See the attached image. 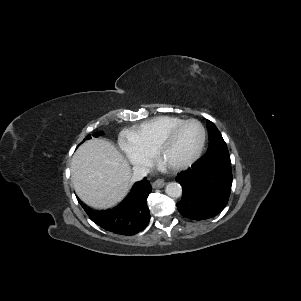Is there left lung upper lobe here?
I'll list each match as a JSON object with an SVG mask.
<instances>
[{"mask_svg": "<svg viewBox=\"0 0 301 301\" xmlns=\"http://www.w3.org/2000/svg\"><path fill=\"white\" fill-rule=\"evenodd\" d=\"M207 129H208L209 147L205 155L202 156L201 158L204 159L209 157H224L230 159L227 145L223 140L221 133L214 125V123L207 120Z\"/></svg>", "mask_w": 301, "mask_h": 301, "instance_id": "obj_1", "label": "left lung upper lobe"}]
</instances>
